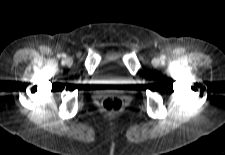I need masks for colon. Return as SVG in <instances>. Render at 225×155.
<instances>
[{
    "mask_svg": "<svg viewBox=\"0 0 225 155\" xmlns=\"http://www.w3.org/2000/svg\"><path fill=\"white\" fill-rule=\"evenodd\" d=\"M124 101L118 95H108L102 98L101 107L109 113H118L123 109Z\"/></svg>",
    "mask_w": 225,
    "mask_h": 155,
    "instance_id": "1",
    "label": "colon"
}]
</instances>
